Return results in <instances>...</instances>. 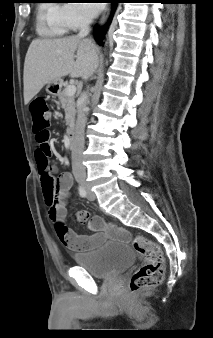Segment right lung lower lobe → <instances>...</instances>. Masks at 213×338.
I'll return each instance as SVG.
<instances>
[{
    "instance_id": "1",
    "label": "right lung lower lobe",
    "mask_w": 213,
    "mask_h": 338,
    "mask_svg": "<svg viewBox=\"0 0 213 338\" xmlns=\"http://www.w3.org/2000/svg\"><path fill=\"white\" fill-rule=\"evenodd\" d=\"M109 1H111L110 3H112V15H113V13H114V11H115V9H116V7H117V3H119L120 0H109ZM111 17H112V16H111ZM110 20H111V18H110ZM110 20H109L108 23L103 27V29L100 30V31L98 32V34L96 35V38H95V39L97 40V42H98L100 45H103V38H104V35H105V33H106V30H107V28H108V26H109Z\"/></svg>"
}]
</instances>
